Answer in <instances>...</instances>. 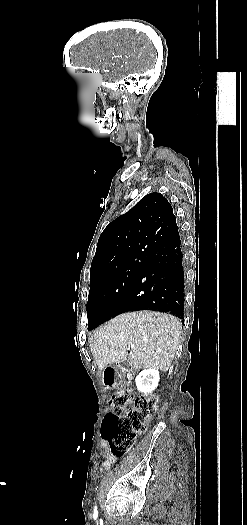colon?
I'll return each mask as SVG.
<instances>
[{"instance_id":"5ec220e1","label":"colon","mask_w":247,"mask_h":525,"mask_svg":"<svg viewBox=\"0 0 247 525\" xmlns=\"http://www.w3.org/2000/svg\"><path fill=\"white\" fill-rule=\"evenodd\" d=\"M157 403V397L133 398L128 388H120L113 393V411L104 418L100 435L108 442L114 457H123L132 447L147 420L156 413Z\"/></svg>"}]
</instances>
